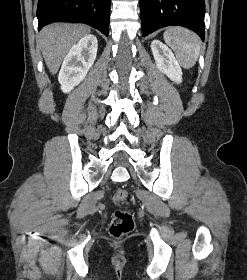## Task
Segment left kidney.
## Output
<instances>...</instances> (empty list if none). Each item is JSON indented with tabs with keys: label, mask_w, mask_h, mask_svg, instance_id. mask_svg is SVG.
<instances>
[{
	"label": "left kidney",
	"mask_w": 247,
	"mask_h": 280,
	"mask_svg": "<svg viewBox=\"0 0 247 280\" xmlns=\"http://www.w3.org/2000/svg\"><path fill=\"white\" fill-rule=\"evenodd\" d=\"M151 50L158 70L177 84L181 83L182 69L172 51L159 40L151 42Z\"/></svg>",
	"instance_id": "1"
}]
</instances>
